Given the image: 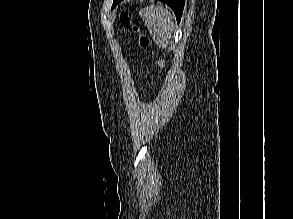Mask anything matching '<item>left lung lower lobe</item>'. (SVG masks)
Listing matches in <instances>:
<instances>
[{
  "instance_id": "0a47b994",
  "label": "left lung lower lobe",
  "mask_w": 293,
  "mask_h": 219,
  "mask_svg": "<svg viewBox=\"0 0 293 219\" xmlns=\"http://www.w3.org/2000/svg\"><path fill=\"white\" fill-rule=\"evenodd\" d=\"M122 0H116L113 5L112 9L116 7L118 3H120ZM161 2L166 3L175 13L177 22L181 20V16L184 9V0H159Z\"/></svg>"
}]
</instances>
